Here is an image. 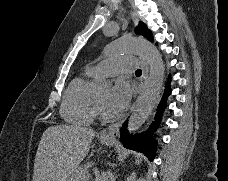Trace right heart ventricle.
I'll return each instance as SVG.
<instances>
[{
  "label": "right heart ventricle",
  "mask_w": 228,
  "mask_h": 181,
  "mask_svg": "<svg viewBox=\"0 0 228 181\" xmlns=\"http://www.w3.org/2000/svg\"><path fill=\"white\" fill-rule=\"evenodd\" d=\"M96 76L87 69L71 81L62 105V115L67 121L87 124L97 116L98 102L93 91Z\"/></svg>",
  "instance_id": "e07e8e85"
}]
</instances>
